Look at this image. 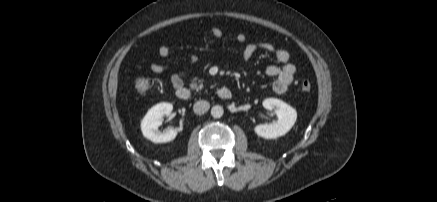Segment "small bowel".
Here are the masks:
<instances>
[{
	"label": "small bowel",
	"mask_w": 437,
	"mask_h": 202,
	"mask_svg": "<svg viewBox=\"0 0 437 202\" xmlns=\"http://www.w3.org/2000/svg\"><path fill=\"white\" fill-rule=\"evenodd\" d=\"M211 33L217 40H222L224 37L223 31L218 27H213L211 29ZM235 40L238 43H245L246 36L243 33H239L236 35ZM258 50H262L273 55L278 61L279 64L268 66L265 69V74L269 77H275V80L272 84L273 91L278 95L284 94L292 84L296 72L295 65L290 61L289 53L285 49L279 48L271 42L255 40L245 44L242 56L245 60H248ZM158 54L162 58H166L170 55V48L167 45H161L158 49ZM197 61V56L191 55L189 57V62L191 65L196 64ZM150 69L153 73L162 74L167 71V65L156 61H151ZM185 75L186 71L171 75L170 82L175 90L184 86Z\"/></svg>",
	"instance_id": "1"
}]
</instances>
